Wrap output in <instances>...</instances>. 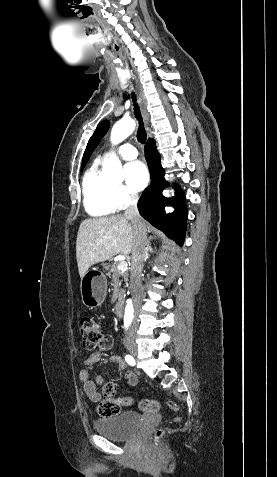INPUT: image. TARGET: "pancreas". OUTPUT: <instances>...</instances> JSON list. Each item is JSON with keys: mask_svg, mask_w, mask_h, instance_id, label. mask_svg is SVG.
<instances>
[{"mask_svg": "<svg viewBox=\"0 0 277 477\" xmlns=\"http://www.w3.org/2000/svg\"><path fill=\"white\" fill-rule=\"evenodd\" d=\"M109 262H111V263L103 264V267L106 271H108V274L110 275L112 273L113 277H119V276L122 275L124 277V280L127 281L128 280V272H121L120 270H118L117 267H118L119 263H113L112 258L109 259Z\"/></svg>", "mask_w": 277, "mask_h": 477, "instance_id": "1", "label": "pancreas"}]
</instances>
